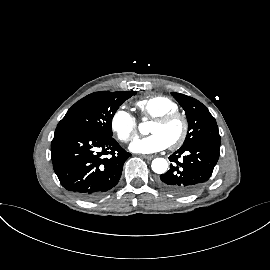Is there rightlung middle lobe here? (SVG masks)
I'll return each mask as SVG.
<instances>
[{
  "label": "right lung middle lobe",
  "mask_w": 270,
  "mask_h": 270,
  "mask_svg": "<svg viewBox=\"0 0 270 270\" xmlns=\"http://www.w3.org/2000/svg\"><path fill=\"white\" fill-rule=\"evenodd\" d=\"M135 93L136 91H101L89 94L68 110L56 130H82L111 139V124L115 112Z\"/></svg>",
  "instance_id": "obj_1"
}]
</instances>
